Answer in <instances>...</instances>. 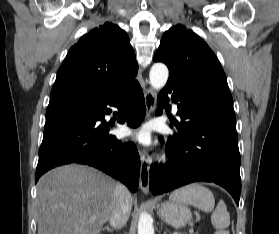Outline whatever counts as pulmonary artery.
<instances>
[{
    "label": "pulmonary artery",
    "mask_w": 279,
    "mask_h": 234,
    "mask_svg": "<svg viewBox=\"0 0 279 234\" xmlns=\"http://www.w3.org/2000/svg\"><path fill=\"white\" fill-rule=\"evenodd\" d=\"M172 111H173L174 113H178V106H177L176 103H173V105H172Z\"/></svg>",
    "instance_id": "obj_1"
}]
</instances>
